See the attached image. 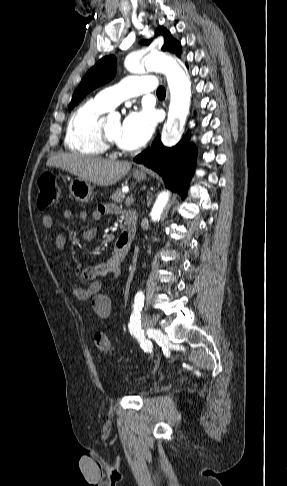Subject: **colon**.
<instances>
[{"mask_svg":"<svg viewBox=\"0 0 287 486\" xmlns=\"http://www.w3.org/2000/svg\"><path fill=\"white\" fill-rule=\"evenodd\" d=\"M59 196V187L53 174H42L38 179L37 206L44 210L53 205ZM95 347L100 351H106L109 348V339L105 332L97 331L94 334Z\"/></svg>","mask_w":287,"mask_h":486,"instance_id":"1","label":"colon"}]
</instances>
